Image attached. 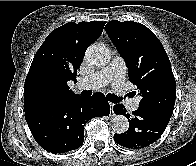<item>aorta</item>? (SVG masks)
Wrapping results in <instances>:
<instances>
[{
    "label": "aorta",
    "instance_id": "obj_1",
    "mask_svg": "<svg viewBox=\"0 0 196 166\" xmlns=\"http://www.w3.org/2000/svg\"><path fill=\"white\" fill-rule=\"evenodd\" d=\"M87 61L96 66H104L110 61V50L103 44H92L86 50ZM111 127L118 134L128 130L129 122L124 115H115L111 119Z\"/></svg>",
    "mask_w": 196,
    "mask_h": 166
}]
</instances>
